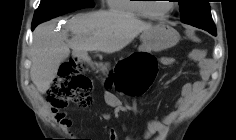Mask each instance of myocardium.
I'll use <instances>...</instances> for the list:
<instances>
[{
    "label": "myocardium",
    "instance_id": "obj_1",
    "mask_svg": "<svg viewBox=\"0 0 236 140\" xmlns=\"http://www.w3.org/2000/svg\"><path fill=\"white\" fill-rule=\"evenodd\" d=\"M143 1H148V0H143ZM171 1H173V0H171ZM170 5H171V7L166 12H164L162 14H157L151 10L150 4H147L145 2L143 4H141L145 16L152 18V19H157V20L164 19V18L168 17L176 9L175 3L172 2Z\"/></svg>",
    "mask_w": 236,
    "mask_h": 140
}]
</instances>
